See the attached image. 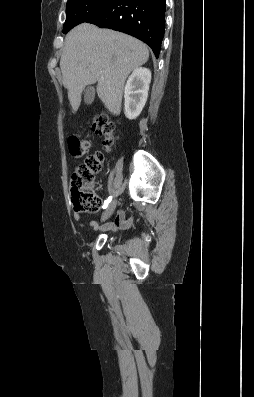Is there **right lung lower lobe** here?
I'll list each match as a JSON object with an SVG mask.
<instances>
[{"label": "right lung lower lobe", "instance_id": "right-lung-lower-lobe-1", "mask_svg": "<svg viewBox=\"0 0 254 397\" xmlns=\"http://www.w3.org/2000/svg\"><path fill=\"white\" fill-rule=\"evenodd\" d=\"M166 0H111L87 23L134 36L158 58L165 29Z\"/></svg>", "mask_w": 254, "mask_h": 397}]
</instances>
